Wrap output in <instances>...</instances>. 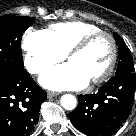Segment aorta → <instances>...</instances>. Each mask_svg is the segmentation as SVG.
<instances>
[{"instance_id":"aorta-1","label":"aorta","mask_w":136,"mask_h":136,"mask_svg":"<svg viewBox=\"0 0 136 136\" xmlns=\"http://www.w3.org/2000/svg\"><path fill=\"white\" fill-rule=\"evenodd\" d=\"M61 106L66 110H72L76 107V98L71 94H65L61 97Z\"/></svg>"}]
</instances>
